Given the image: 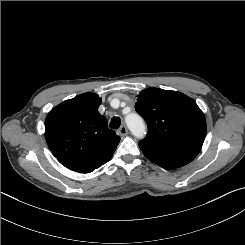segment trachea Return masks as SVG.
<instances>
[{
  "instance_id": "obj_1",
  "label": "trachea",
  "mask_w": 245,
  "mask_h": 245,
  "mask_svg": "<svg viewBox=\"0 0 245 245\" xmlns=\"http://www.w3.org/2000/svg\"><path fill=\"white\" fill-rule=\"evenodd\" d=\"M120 124H121L120 118H119V117H114V118L112 119V121L110 122L109 127H110L111 129H117V128L120 127Z\"/></svg>"
}]
</instances>
